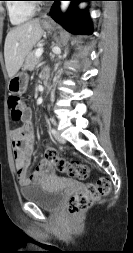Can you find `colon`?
Returning a JSON list of instances; mask_svg holds the SVG:
<instances>
[{
	"instance_id": "1",
	"label": "colon",
	"mask_w": 133,
	"mask_h": 253,
	"mask_svg": "<svg viewBox=\"0 0 133 253\" xmlns=\"http://www.w3.org/2000/svg\"><path fill=\"white\" fill-rule=\"evenodd\" d=\"M11 118L14 121H21L26 114V105L24 100L17 95H11L7 99ZM44 160L54 165L60 172L66 173L71 177L86 179L89 175V168L76 161H68L59 157L56 150L49 148L44 154ZM111 182L108 178L102 177L95 183H90L85 190L73 195L67 203V212L77 214L86 210L97 199L109 193Z\"/></svg>"
}]
</instances>
